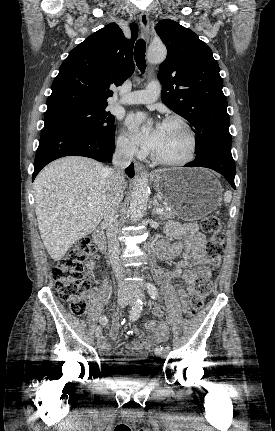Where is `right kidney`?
<instances>
[{
    "label": "right kidney",
    "instance_id": "obj_1",
    "mask_svg": "<svg viewBox=\"0 0 275 431\" xmlns=\"http://www.w3.org/2000/svg\"><path fill=\"white\" fill-rule=\"evenodd\" d=\"M88 267H89V269H93V268H94V263H93V262H90V263L88 264Z\"/></svg>",
    "mask_w": 275,
    "mask_h": 431
}]
</instances>
